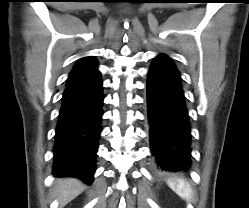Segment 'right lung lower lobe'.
Listing matches in <instances>:
<instances>
[{"mask_svg":"<svg viewBox=\"0 0 249 208\" xmlns=\"http://www.w3.org/2000/svg\"><path fill=\"white\" fill-rule=\"evenodd\" d=\"M102 90L100 72L67 85L55 134V176L92 182L103 115Z\"/></svg>","mask_w":249,"mask_h":208,"instance_id":"obj_1","label":"right lung lower lobe"}]
</instances>
